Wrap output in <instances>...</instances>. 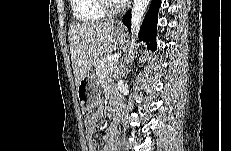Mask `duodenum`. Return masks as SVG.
Listing matches in <instances>:
<instances>
[{
  "instance_id": "1",
  "label": "duodenum",
  "mask_w": 231,
  "mask_h": 151,
  "mask_svg": "<svg viewBox=\"0 0 231 151\" xmlns=\"http://www.w3.org/2000/svg\"><path fill=\"white\" fill-rule=\"evenodd\" d=\"M112 109L115 117L120 114V102L118 100H112Z\"/></svg>"
}]
</instances>
